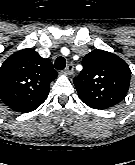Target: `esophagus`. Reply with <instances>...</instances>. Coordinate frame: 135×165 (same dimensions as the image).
<instances>
[{"label": "esophagus", "instance_id": "esophagus-1", "mask_svg": "<svg viewBox=\"0 0 135 165\" xmlns=\"http://www.w3.org/2000/svg\"><path fill=\"white\" fill-rule=\"evenodd\" d=\"M74 72V65L72 63L68 64L64 70V73L67 75H72Z\"/></svg>", "mask_w": 135, "mask_h": 165}]
</instances>
